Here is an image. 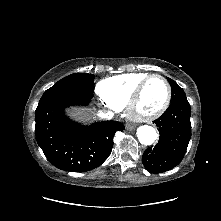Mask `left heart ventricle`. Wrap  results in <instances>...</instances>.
<instances>
[{
  "label": "left heart ventricle",
  "mask_w": 221,
  "mask_h": 221,
  "mask_svg": "<svg viewBox=\"0 0 221 221\" xmlns=\"http://www.w3.org/2000/svg\"><path fill=\"white\" fill-rule=\"evenodd\" d=\"M166 97V86L158 78L151 79L143 90L138 110L150 113L161 106Z\"/></svg>",
  "instance_id": "b2bd125f"
}]
</instances>
